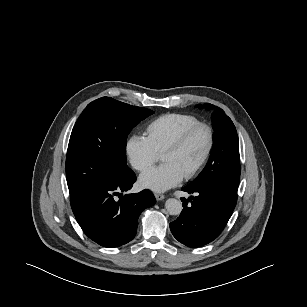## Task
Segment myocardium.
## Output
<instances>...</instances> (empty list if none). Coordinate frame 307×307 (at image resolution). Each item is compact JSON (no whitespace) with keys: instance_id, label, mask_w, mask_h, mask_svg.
Listing matches in <instances>:
<instances>
[{"instance_id":"obj_1","label":"myocardium","mask_w":307,"mask_h":307,"mask_svg":"<svg viewBox=\"0 0 307 307\" xmlns=\"http://www.w3.org/2000/svg\"><path fill=\"white\" fill-rule=\"evenodd\" d=\"M200 129L205 130L207 134V139H208L207 147L204 152V155L202 156L200 161L197 163V165L191 171H189L186 175H184V178L187 180L194 178L204 168V166L207 164L212 154L214 144H215V136H214V131L212 127L206 123L199 122L197 124H194L186 128L169 146H167V148L162 153V157H163L167 153H171V152H175L179 150L187 142V140L196 131Z\"/></svg>"}]
</instances>
